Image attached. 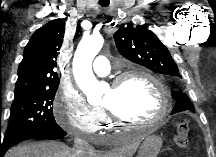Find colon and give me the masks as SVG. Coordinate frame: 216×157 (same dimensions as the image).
Instances as JSON below:
<instances>
[{
	"label": "colon",
	"mask_w": 216,
	"mask_h": 157,
	"mask_svg": "<svg viewBox=\"0 0 216 157\" xmlns=\"http://www.w3.org/2000/svg\"><path fill=\"white\" fill-rule=\"evenodd\" d=\"M190 120L185 118L179 120L176 124L175 143L177 147L184 149L189 143Z\"/></svg>",
	"instance_id": "colon-1"
}]
</instances>
